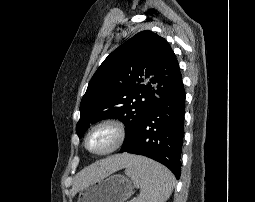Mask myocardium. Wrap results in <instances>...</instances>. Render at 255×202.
I'll use <instances>...</instances> for the list:
<instances>
[{
    "mask_svg": "<svg viewBox=\"0 0 255 202\" xmlns=\"http://www.w3.org/2000/svg\"><path fill=\"white\" fill-rule=\"evenodd\" d=\"M101 128L111 129L115 134V141L111 147H109L108 149L104 151H100V152L93 151L88 145L89 138L93 132ZM126 135H127L126 126L121 120L116 118H108V119H104L97 122L89 129L84 139V145H85V148L92 154L99 155V156L108 155L116 151L123 145L126 139Z\"/></svg>",
    "mask_w": 255,
    "mask_h": 202,
    "instance_id": "obj_1",
    "label": "myocardium"
}]
</instances>
